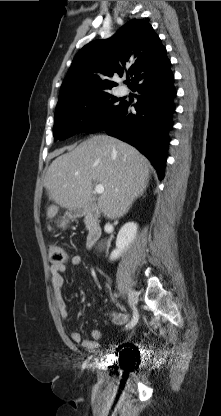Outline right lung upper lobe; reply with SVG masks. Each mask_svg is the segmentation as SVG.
<instances>
[{"instance_id":"right-lung-upper-lobe-1","label":"right lung upper lobe","mask_w":221,"mask_h":416,"mask_svg":"<svg viewBox=\"0 0 221 416\" xmlns=\"http://www.w3.org/2000/svg\"><path fill=\"white\" fill-rule=\"evenodd\" d=\"M170 70L166 49L152 26L133 19L107 40L85 45L75 56L61 86L58 104L109 92L114 75H130V87Z\"/></svg>"}]
</instances>
